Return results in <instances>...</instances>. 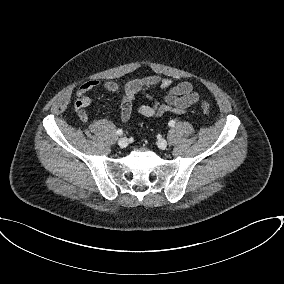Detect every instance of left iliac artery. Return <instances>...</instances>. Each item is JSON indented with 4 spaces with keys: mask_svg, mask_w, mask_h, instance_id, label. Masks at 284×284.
<instances>
[{
    "mask_svg": "<svg viewBox=\"0 0 284 284\" xmlns=\"http://www.w3.org/2000/svg\"><path fill=\"white\" fill-rule=\"evenodd\" d=\"M168 125H169L170 127H173V126L175 125V121H174V120L169 121Z\"/></svg>",
    "mask_w": 284,
    "mask_h": 284,
    "instance_id": "obj_1",
    "label": "left iliac artery"
}]
</instances>
